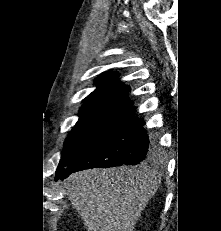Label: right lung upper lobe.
<instances>
[{"label": "right lung upper lobe", "instance_id": "right-lung-upper-lobe-1", "mask_svg": "<svg viewBox=\"0 0 221 231\" xmlns=\"http://www.w3.org/2000/svg\"><path fill=\"white\" fill-rule=\"evenodd\" d=\"M115 72H104L95 80L97 89L88 95L84 101L98 98H114L128 100L129 86L124 85L118 79ZM130 101V100H129ZM132 102V101H131ZM133 103V102H132Z\"/></svg>", "mask_w": 221, "mask_h": 231}]
</instances>
